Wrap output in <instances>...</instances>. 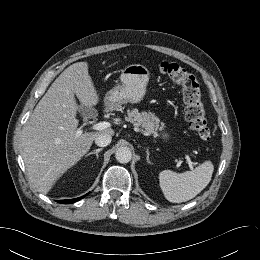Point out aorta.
<instances>
[{
	"label": "aorta",
	"mask_w": 260,
	"mask_h": 260,
	"mask_svg": "<svg viewBox=\"0 0 260 260\" xmlns=\"http://www.w3.org/2000/svg\"><path fill=\"white\" fill-rule=\"evenodd\" d=\"M115 157L120 163H128L132 158V152L128 147H120L117 149Z\"/></svg>",
	"instance_id": "obj_1"
}]
</instances>
